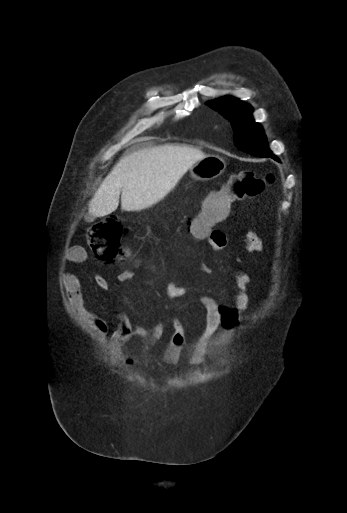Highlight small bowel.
<instances>
[{"label":"small bowel","instance_id":"small-bowel-1","mask_svg":"<svg viewBox=\"0 0 347 513\" xmlns=\"http://www.w3.org/2000/svg\"><path fill=\"white\" fill-rule=\"evenodd\" d=\"M198 239L207 240L213 252L222 250L228 244L227 234L222 228H213L205 236ZM245 247L251 253L263 251V242L255 230L250 229L246 233ZM85 258L86 252L82 247H73L68 253L67 261L76 263L84 261ZM138 268L139 263H136L133 267L124 269L118 274V280L120 282H129ZM204 271L211 274L214 272V269L212 266L205 264ZM232 280L233 282L229 290L234 305H221L210 295L200 297L199 302L205 310V328L190 352H187L185 328L177 319H168L153 326H145L133 323L125 316L120 315L118 317V326L111 334V340L119 345L130 339H136L150 346L162 340L167 334H170L161 354L162 363L170 366L177 365L187 353L188 364L197 366L202 363L206 355L208 340L221 328L230 329L237 327L241 314L249 307V276L242 270H235ZM94 281L100 288H108V282L104 277H94ZM62 285L69 307L75 318L100 337H108L109 324L104 318L86 308L79 279L72 273L64 272L62 274ZM166 288L168 296L174 298L185 296L188 293L186 285L178 283L173 279L167 281ZM120 361L128 366H136L140 362L134 357L121 358Z\"/></svg>","mask_w":347,"mask_h":513}]
</instances>
